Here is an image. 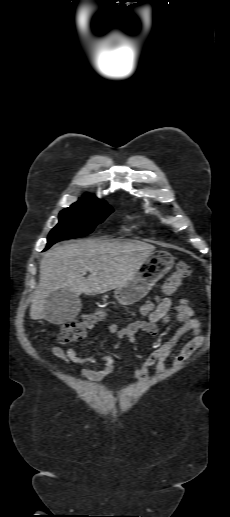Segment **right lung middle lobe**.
Returning <instances> with one entry per match:
<instances>
[{"mask_svg":"<svg viewBox=\"0 0 230 517\" xmlns=\"http://www.w3.org/2000/svg\"><path fill=\"white\" fill-rule=\"evenodd\" d=\"M112 212V208L99 199L72 204L60 212L59 223L49 233L45 250L58 241L91 233Z\"/></svg>","mask_w":230,"mask_h":517,"instance_id":"1","label":"right lung middle lobe"}]
</instances>
